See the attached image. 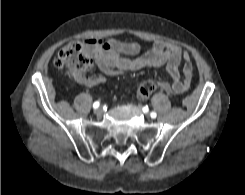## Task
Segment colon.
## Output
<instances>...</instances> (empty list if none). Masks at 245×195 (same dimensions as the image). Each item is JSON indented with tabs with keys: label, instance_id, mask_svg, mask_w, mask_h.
<instances>
[{
	"label": "colon",
	"instance_id": "colon-1",
	"mask_svg": "<svg viewBox=\"0 0 245 195\" xmlns=\"http://www.w3.org/2000/svg\"><path fill=\"white\" fill-rule=\"evenodd\" d=\"M54 65L59 69H66L76 80L85 78L92 68V60L86 48L79 43H69L63 47L54 60ZM159 84L154 79H144L138 82L137 96L146 99L154 93Z\"/></svg>",
	"mask_w": 245,
	"mask_h": 195
}]
</instances>
